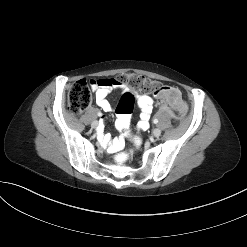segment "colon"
Masks as SVG:
<instances>
[{
	"label": "colon",
	"instance_id": "5ec220e1",
	"mask_svg": "<svg viewBox=\"0 0 247 247\" xmlns=\"http://www.w3.org/2000/svg\"><path fill=\"white\" fill-rule=\"evenodd\" d=\"M115 80L127 86L132 91L161 95L164 105L177 109L179 115L184 113V104L179 91L175 88H168L158 81L138 74L121 75ZM95 83V80L81 79L70 88L68 93V109L72 114L80 115L90 105L91 89ZM132 91H127L123 94L116 111L118 127L125 135L129 134L130 115L135 102V95ZM145 145L146 139L143 135H134L129 143L128 149L118 151L114 154V163L120 167L132 164L140 158L141 151Z\"/></svg>",
	"mask_w": 247,
	"mask_h": 247
}]
</instances>
